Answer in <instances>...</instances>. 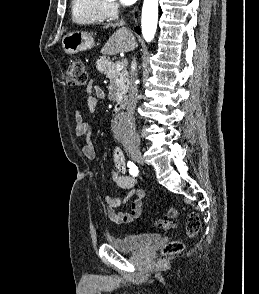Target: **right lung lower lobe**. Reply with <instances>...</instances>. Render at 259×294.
<instances>
[{
  "label": "right lung lower lobe",
  "instance_id": "right-lung-lower-lobe-1",
  "mask_svg": "<svg viewBox=\"0 0 259 294\" xmlns=\"http://www.w3.org/2000/svg\"><path fill=\"white\" fill-rule=\"evenodd\" d=\"M136 31H137V33H140V29L138 27L136 28Z\"/></svg>",
  "mask_w": 259,
  "mask_h": 294
}]
</instances>
